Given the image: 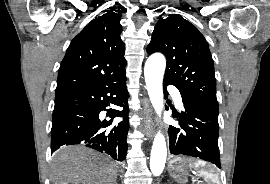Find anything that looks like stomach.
<instances>
[{
	"mask_svg": "<svg viewBox=\"0 0 270 184\" xmlns=\"http://www.w3.org/2000/svg\"><path fill=\"white\" fill-rule=\"evenodd\" d=\"M170 175L179 181H186L188 177V169L181 159H174L169 163Z\"/></svg>",
	"mask_w": 270,
	"mask_h": 184,
	"instance_id": "obj_1",
	"label": "stomach"
}]
</instances>
